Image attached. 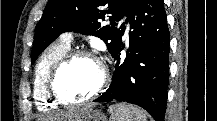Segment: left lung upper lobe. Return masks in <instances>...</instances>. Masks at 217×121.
Listing matches in <instances>:
<instances>
[{"label":"left lung upper lobe","mask_w":217,"mask_h":121,"mask_svg":"<svg viewBox=\"0 0 217 121\" xmlns=\"http://www.w3.org/2000/svg\"><path fill=\"white\" fill-rule=\"evenodd\" d=\"M134 0H49L41 20L36 25L31 64L39 54L61 33L75 31L102 39L114 54L120 44L125 23L117 27V21L128 15ZM107 6V10L102 7ZM111 23L103 26L105 16Z\"/></svg>","instance_id":"left-lung-upper-lobe-1"}]
</instances>
